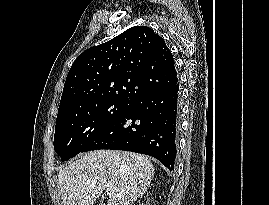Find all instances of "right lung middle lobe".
Wrapping results in <instances>:
<instances>
[{"instance_id":"obj_1","label":"right lung middle lobe","mask_w":269,"mask_h":205,"mask_svg":"<svg viewBox=\"0 0 269 205\" xmlns=\"http://www.w3.org/2000/svg\"><path fill=\"white\" fill-rule=\"evenodd\" d=\"M128 104L121 101H105L58 118L53 144L61 160L67 161L82 152Z\"/></svg>"}]
</instances>
